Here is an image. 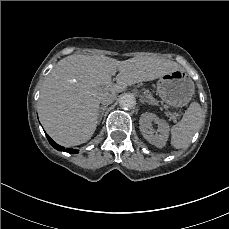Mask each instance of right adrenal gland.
I'll return each mask as SVG.
<instances>
[{
	"label": "right adrenal gland",
	"instance_id": "right-adrenal-gland-1",
	"mask_svg": "<svg viewBox=\"0 0 229 229\" xmlns=\"http://www.w3.org/2000/svg\"><path fill=\"white\" fill-rule=\"evenodd\" d=\"M106 108H107V106H105V105H104L103 107H101V108L99 109V114H98V118H99V120H98V123H100V122H101L102 117H103V114H104V112H105Z\"/></svg>",
	"mask_w": 229,
	"mask_h": 229
}]
</instances>
